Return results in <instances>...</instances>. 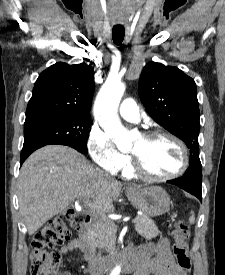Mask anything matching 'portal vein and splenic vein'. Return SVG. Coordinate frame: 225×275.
<instances>
[{"label":"portal vein and splenic vein","instance_id":"portal-vein-and-splenic-vein-1","mask_svg":"<svg viewBox=\"0 0 225 275\" xmlns=\"http://www.w3.org/2000/svg\"><path fill=\"white\" fill-rule=\"evenodd\" d=\"M84 205H85L86 208H93L94 207V205L89 201V199L84 200ZM138 220H139V218L136 217L132 220V222L136 223V222H138Z\"/></svg>","mask_w":225,"mask_h":275}]
</instances>
